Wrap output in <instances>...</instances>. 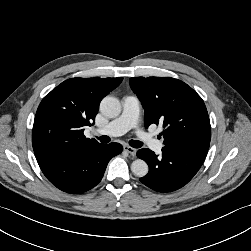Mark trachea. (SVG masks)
<instances>
[{"instance_id": "1", "label": "trachea", "mask_w": 251, "mask_h": 251, "mask_svg": "<svg viewBox=\"0 0 251 251\" xmlns=\"http://www.w3.org/2000/svg\"><path fill=\"white\" fill-rule=\"evenodd\" d=\"M97 139L102 143L110 142V138L108 136H100ZM129 144H130V146H132L134 148H140L143 146V143L138 140H130Z\"/></svg>"}]
</instances>
